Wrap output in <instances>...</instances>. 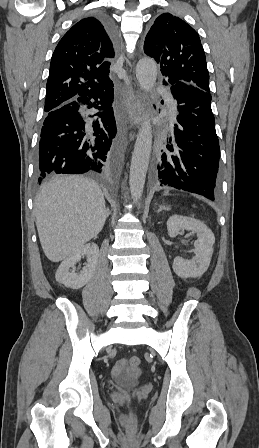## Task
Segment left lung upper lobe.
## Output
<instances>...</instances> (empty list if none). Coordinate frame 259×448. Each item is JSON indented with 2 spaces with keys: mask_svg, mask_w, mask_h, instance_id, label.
<instances>
[{
  "mask_svg": "<svg viewBox=\"0 0 259 448\" xmlns=\"http://www.w3.org/2000/svg\"><path fill=\"white\" fill-rule=\"evenodd\" d=\"M144 52L161 66L166 79L192 83L210 92L205 53L198 33L185 21L163 13L149 30Z\"/></svg>",
  "mask_w": 259,
  "mask_h": 448,
  "instance_id": "1",
  "label": "left lung upper lobe"
}]
</instances>
